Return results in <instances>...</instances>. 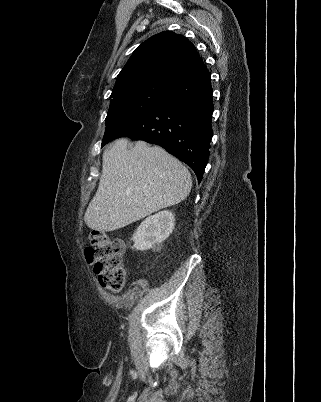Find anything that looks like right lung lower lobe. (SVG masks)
I'll use <instances>...</instances> for the list:
<instances>
[{"instance_id": "obj_1", "label": "right lung lower lobe", "mask_w": 321, "mask_h": 402, "mask_svg": "<svg viewBox=\"0 0 321 402\" xmlns=\"http://www.w3.org/2000/svg\"><path fill=\"white\" fill-rule=\"evenodd\" d=\"M212 93L210 73L204 68L173 84L163 101L115 138L129 137L162 146L189 165L201 182L213 135Z\"/></svg>"}]
</instances>
